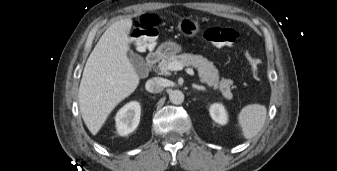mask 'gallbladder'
Segmentation results:
<instances>
[{
	"mask_svg": "<svg viewBox=\"0 0 337 171\" xmlns=\"http://www.w3.org/2000/svg\"><path fill=\"white\" fill-rule=\"evenodd\" d=\"M129 58H130V61L132 62L135 70L140 73L141 71H143L145 69V61L144 59L138 55V54H135L133 53L132 51L129 53Z\"/></svg>",
	"mask_w": 337,
	"mask_h": 171,
	"instance_id": "gallbladder-1",
	"label": "gallbladder"
}]
</instances>
